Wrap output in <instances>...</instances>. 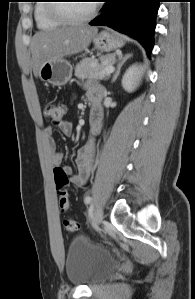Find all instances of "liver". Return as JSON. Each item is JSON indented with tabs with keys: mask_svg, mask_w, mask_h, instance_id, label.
<instances>
[{
	"mask_svg": "<svg viewBox=\"0 0 195 299\" xmlns=\"http://www.w3.org/2000/svg\"><path fill=\"white\" fill-rule=\"evenodd\" d=\"M97 32L96 27L90 26H69L37 32L31 41L34 76H39L44 63L85 50Z\"/></svg>",
	"mask_w": 195,
	"mask_h": 299,
	"instance_id": "1",
	"label": "liver"
}]
</instances>
